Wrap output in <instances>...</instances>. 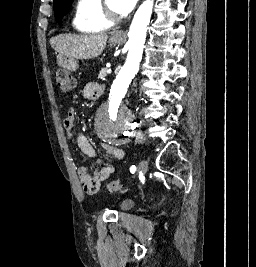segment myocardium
<instances>
[{"label": "myocardium", "instance_id": "1", "mask_svg": "<svg viewBox=\"0 0 256 267\" xmlns=\"http://www.w3.org/2000/svg\"><path fill=\"white\" fill-rule=\"evenodd\" d=\"M110 1H113V0H104V11L102 13L103 31L110 30L114 26L116 19H117V9L114 10L111 8ZM110 21L114 22L113 25L110 28L105 29L104 25H106Z\"/></svg>", "mask_w": 256, "mask_h": 267}]
</instances>
